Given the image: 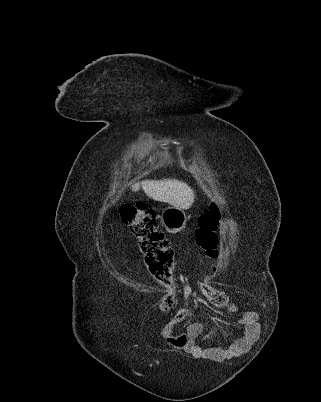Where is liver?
<instances>
[{"instance_id":"1","label":"liver","mask_w":321,"mask_h":402,"mask_svg":"<svg viewBox=\"0 0 321 402\" xmlns=\"http://www.w3.org/2000/svg\"><path fill=\"white\" fill-rule=\"evenodd\" d=\"M141 186L148 197L181 209H189L194 202L193 190L176 179L144 180ZM139 187L140 184L137 183L132 186V190L138 191Z\"/></svg>"}]
</instances>
